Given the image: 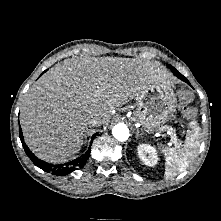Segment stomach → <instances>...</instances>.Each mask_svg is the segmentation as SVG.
I'll return each mask as SVG.
<instances>
[{"instance_id":"obj_1","label":"stomach","mask_w":221,"mask_h":221,"mask_svg":"<svg viewBox=\"0 0 221 221\" xmlns=\"http://www.w3.org/2000/svg\"><path fill=\"white\" fill-rule=\"evenodd\" d=\"M137 98L134 116L147 133L159 130L175 111L176 96L170 82H154L142 90Z\"/></svg>"}]
</instances>
